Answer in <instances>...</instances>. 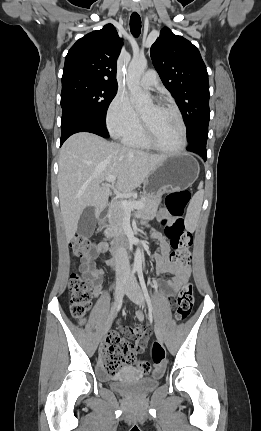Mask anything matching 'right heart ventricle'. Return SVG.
Instances as JSON below:
<instances>
[{"instance_id":"obj_1","label":"right heart ventricle","mask_w":261,"mask_h":431,"mask_svg":"<svg viewBox=\"0 0 261 431\" xmlns=\"http://www.w3.org/2000/svg\"><path fill=\"white\" fill-rule=\"evenodd\" d=\"M124 142L133 148H139V149H150L151 146L147 142V140L144 137L142 128L139 127L137 130L129 134L128 136L124 137Z\"/></svg>"}]
</instances>
